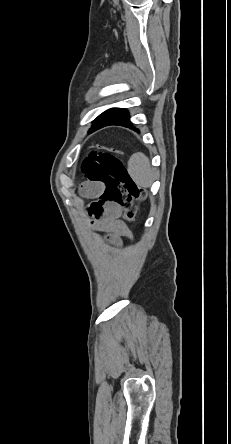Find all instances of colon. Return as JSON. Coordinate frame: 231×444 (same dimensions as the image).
Segmentation results:
<instances>
[{"label": "colon", "mask_w": 231, "mask_h": 444, "mask_svg": "<svg viewBox=\"0 0 231 444\" xmlns=\"http://www.w3.org/2000/svg\"><path fill=\"white\" fill-rule=\"evenodd\" d=\"M122 152L97 146L82 162V171L89 182L105 185L98 202L91 205L89 213L98 217L103 203L119 205L128 220L132 221L138 213L137 201L145 198L146 192L130 177L123 161Z\"/></svg>", "instance_id": "obj_1"}]
</instances>
